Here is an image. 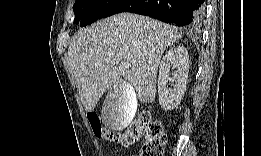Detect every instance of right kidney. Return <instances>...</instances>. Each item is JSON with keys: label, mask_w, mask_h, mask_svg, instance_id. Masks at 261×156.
<instances>
[{"label": "right kidney", "mask_w": 261, "mask_h": 156, "mask_svg": "<svg viewBox=\"0 0 261 156\" xmlns=\"http://www.w3.org/2000/svg\"><path fill=\"white\" fill-rule=\"evenodd\" d=\"M170 69L173 70L172 77ZM188 72L187 49L183 46L170 48L160 63L158 76L159 103L164 110H173L180 103L186 90ZM170 82L174 83L173 89L168 88Z\"/></svg>", "instance_id": "ca27d5eb"}]
</instances>
